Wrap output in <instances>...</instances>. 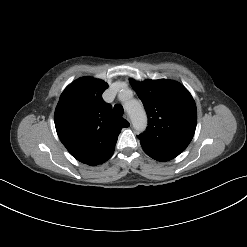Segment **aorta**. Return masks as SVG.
<instances>
[{"instance_id":"762f6f07","label":"aorta","mask_w":247,"mask_h":247,"mask_svg":"<svg viewBox=\"0 0 247 247\" xmlns=\"http://www.w3.org/2000/svg\"><path fill=\"white\" fill-rule=\"evenodd\" d=\"M131 95L132 92L130 90H124L120 93L119 97L123 100L125 97L130 98ZM125 108L130 116L134 129L137 132L144 131L147 126V116L142 104L135 99H130L126 101Z\"/></svg>"}]
</instances>
